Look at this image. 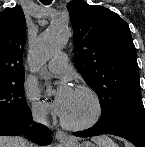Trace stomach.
<instances>
[{
  "label": "stomach",
  "mask_w": 145,
  "mask_h": 147,
  "mask_svg": "<svg viewBox=\"0 0 145 147\" xmlns=\"http://www.w3.org/2000/svg\"><path fill=\"white\" fill-rule=\"evenodd\" d=\"M64 147H95L94 144L91 142H83V143H78L77 141H73L68 144H64Z\"/></svg>",
  "instance_id": "0dacf381"
}]
</instances>
